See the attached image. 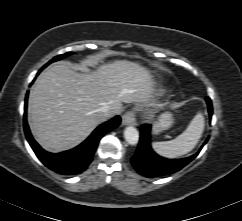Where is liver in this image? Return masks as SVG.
<instances>
[{"instance_id": "liver-1", "label": "liver", "mask_w": 242, "mask_h": 221, "mask_svg": "<svg viewBox=\"0 0 242 221\" xmlns=\"http://www.w3.org/2000/svg\"><path fill=\"white\" fill-rule=\"evenodd\" d=\"M153 85L145 67L127 60L103 64L86 73L54 65L38 76L30 91L31 132L47 151L71 149L105 120L101 107L108 105L118 113L122 103L147 102Z\"/></svg>"}]
</instances>
